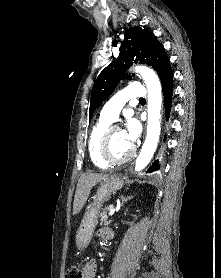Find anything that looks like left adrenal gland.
Masks as SVG:
<instances>
[{"label":"left adrenal gland","instance_id":"a2214340","mask_svg":"<svg viewBox=\"0 0 221 278\" xmlns=\"http://www.w3.org/2000/svg\"><path fill=\"white\" fill-rule=\"evenodd\" d=\"M132 198H133V196H128V197L121 196V200H122L121 206Z\"/></svg>","mask_w":221,"mask_h":278}]
</instances>
